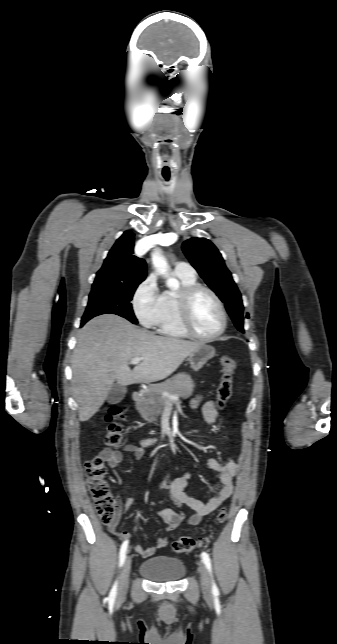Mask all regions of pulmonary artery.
<instances>
[{"mask_svg":"<svg viewBox=\"0 0 337 644\" xmlns=\"http://www.w3.org/2000/svg\"><path fill=\"white\" fill-rule=\"evenodd\" d=\"M175 272L177 273H182V274H188V275H195V270L194 268L186 263V262H178L175 265Z\"/></svg>","mask_w":337,"mask_h":644,"instance_id":"e3ab8cb5","label":"pulmonary artery"}]
</instances>
